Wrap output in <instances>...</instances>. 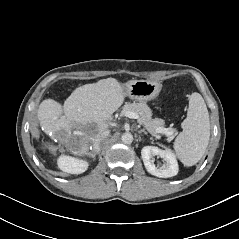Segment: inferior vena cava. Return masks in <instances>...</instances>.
<instances>
[{
  "label": "inferior vena cava",
  "instance_id": "inferior-vena-cava-1",
  "mask_svg": "<svg viewBox=\"0 0 239 239\" xmlns=\"http://www.w3.org/2000/svg\"><path fill=\"white\" fill-rule=\"evenodd\" d=\"M108 136H109V132L108 131H104L103 133H101L98 136V138L95 140L96 148L100 149V147L105 142V140L107 139Z\"/></svg>",
  "mask_w": 239,
  "mask_h": 239
}]
</instances>
